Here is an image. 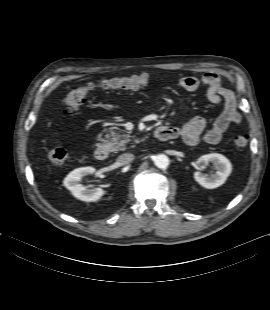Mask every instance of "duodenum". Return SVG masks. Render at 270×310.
I'll return each instance as SVG.
<instances>
[{
	"instance_id": "410a0bca",
	"label": "duodenum",
	"mask_w": 270,
	"mask_h": 310,
	"mask_svg": "<svg viewBox=\"0 0 270 310\" xmlns=\"http://www.w3.org/2000/svg\"><path fill=\"white\" fill-rule=\"evenodd\" d=\"M155 136L157 139L164 141L173 139L172 132L164 126H160L159 128H157ZM94 155L97 160H106L109 155L107 146L104 144H99L95 148Z\"/></svg>"
}]
</instances>
